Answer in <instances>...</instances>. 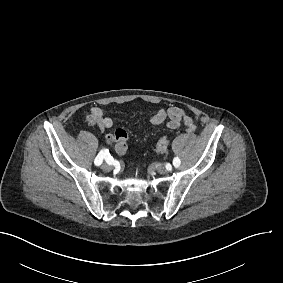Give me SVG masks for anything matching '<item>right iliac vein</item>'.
<instances>
[{
    "label": "right iliac vein",
    "mask_w": 283,
    "mask_h": 283,
    "mask_svg": "<svg viewBox=\"0 0 283 283\" xmlns=\"http://www.w3.org/2000/svg\"><path fill=\"white\" fill-rule=\"evenodd\" d=\"M102 169L105 171V172H109L112 170V166L109 165V164H103L102 165Z\"/></svg>",
    "instance_id": "1"
}]
</instances>
